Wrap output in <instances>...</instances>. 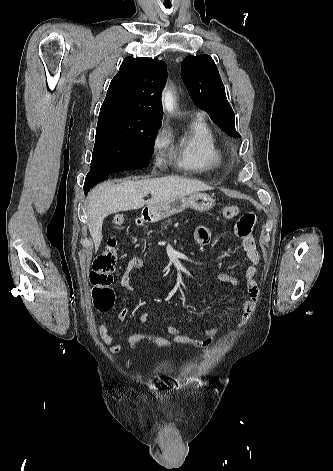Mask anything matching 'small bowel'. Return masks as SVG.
I'll return each instance as SVG.
<instances>
[{
	"instance_id": "obj_1",
	"label": "small bowel",
	"mask_w": 333,
	"mask_h": 471,
	"mask_svg": "<svg viewBox=\"0 0 333 471\" xmlns=\"http://www.w3.org/2000/svg\"><path fill=\"white\" fill-rule=\"evenodd\" d=\"M255 223V215L251 212L243 214L235 225V232L241 238L242 247L245 252L246 258L249 262L245 270V290L247 296L242 301V321L241 324L247 322L256 309V304L260 296V289L255 281L257 274V264L260 261V254L256 248L255 240L252 235V229ZM210 231L205 226H199L194 233L195 242L199 245H206L210 241ZM143 266V260L140 257L132 256L126 264L124 272L120 278V284L123 288L133 292V276L135 272ZM215 279L218 282L228 283L234 287L240 285V280L227 273H217ZM133 300L130 301L118 314L120 320H125L129 315L130 307ZM142 324H150V315L146 312L142 313L139 317ZM110 323L103 322L99 327L101 339L109 346L111 354L120 353L122 350V343L116 340L109 334ZM167 334L173 343L191 345L197 348H206L211 345L214 337L217 335L218 329L216 327H208L204 330V338L198 339L192 336L182 334L176 326H168L166 329Z\"/></svg>"
}]
</instances>
